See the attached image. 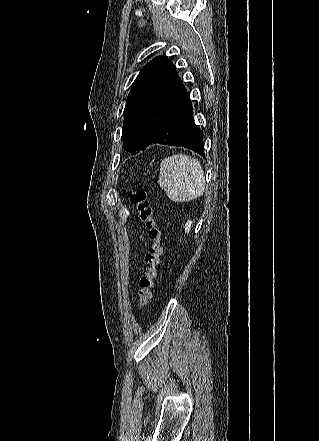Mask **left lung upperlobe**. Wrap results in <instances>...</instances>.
Segmentation results:
<instances>
[{
	"label": "left lung upper lobe",
	"mask_w": 319,
	"mask_h": 441,
	"mask_svg": "<svg viewBox=\"0 0 319 441\" xmlns=\"http://www.w3.org/2000/svg\"><path fill=\"white\" fill-rule=\"evenodd\" d=\"M187 90L165 56L147 63L132 84L124 109L123 147L145 150L162 123L180 106Z\"/></svg>",
	"instance_id": "left-lung-upper-lobe-1"
}]
</instances>
